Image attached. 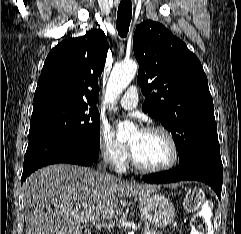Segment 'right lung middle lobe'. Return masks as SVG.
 <instances>
[{
  "label": "right lung middle lobe",
  "instance_id": "dd1d6c3e",
  "mask_svg": "<svg viewBox=\"0 0 241 234\" xmlns=\"http://www.w3.org/2000/svg\"><path fill=\"white\" fill-rule=\"evenodd\" d=\"M48 136L65 137L91 151L100 150V115L96 107L65 102L35 105L29 141Z\"/></svg>",
  "mask_w": 241,
  "mask_h": 234
}]
</instances>
